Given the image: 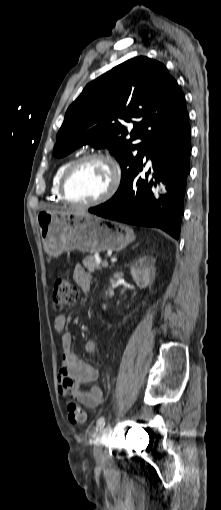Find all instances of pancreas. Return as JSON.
Returning a JSON list of instances; mask_svg holds the SVG:
<instances>
[{
    "label": "pancreas",
    "instance_id": "1",
    "mask_svg": "<svg viewBox=\"0 0 221 510\" xmlns=\"http://www.w3.org/2000/svg\"><path fill=\"white\" fill-rule=\"evenodd\" d=\"M82 263L90 272H94L95 270H102V266L96 262L94 256L92 255L86 256Z\"/></svg>",
    "mask_w": 221,
    "mask_h": 510
}]
</instances>
